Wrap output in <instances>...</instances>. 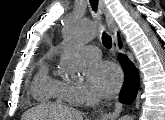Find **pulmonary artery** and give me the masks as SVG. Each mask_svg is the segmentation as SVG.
<instances>
[{
    "mask_svg": "<svg viewBox=\"0 0 165 120\" xmlns=\"http://www.w3.org/2000/svg\"><path fill=\"white\" fill-rule=\"evenodd\" d=\"M83 52L88 59H98L101 57L100 49L94 45L84 47Z\"/></svg>",
    "mask_w": 165,
    "mask_h": 120,
    "instance_id": "e3ab8cb5",
    "label": "pulmonary artery"
}]
</instances>
